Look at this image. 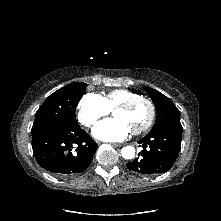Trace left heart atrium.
<instances>
[{
  "instance_id": "39dd6f15",
  "label": "left heart atrium",
  "mask_w": 221,
  "mask_h": 221,
  "mask_svg": "<svg viewBox=\"0 0 221 221\" xmlns=\"http://www.w3.org/2000/svg\"><path fill=\"white\" fill-rule=\"evenodd\" d=\"M130 131L131 129L123 120L114 118L98 123L92 133L99 140L118 142L126 139Z\"/></svg>"
}]
</instances>
